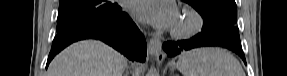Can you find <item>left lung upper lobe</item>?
Instances as JSON below:
<instances>
[{"instance_id": "5c2ea615", "label": "left lung upper lobe", "mask_w": 287, "mask_h": 76, "mask_svg": "<svg viewBox=\"0 0 287 76\" xmlns=\"http://www.w3.org/2000/svg\"><path fill=\"white\" fill-rule=\"evenodd\" d=\"M204 19V26L214 33L240 39L235 0H183Z\"/></svg>"}]
</instances>
